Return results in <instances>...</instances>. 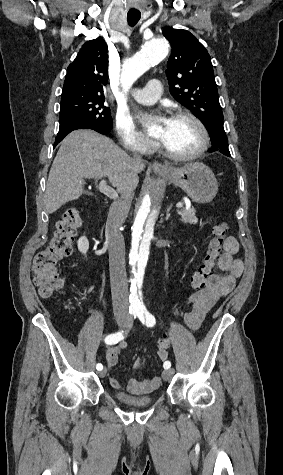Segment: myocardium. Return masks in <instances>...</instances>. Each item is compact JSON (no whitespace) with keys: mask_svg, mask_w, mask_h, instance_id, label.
<instances>
[{"mask_svg":"<svg viewBox=\"0 0 283 475\" xmlns=\"http://www.w3.org/2000/svg\"><path fill=\"white\" fill-rule=\"evenodd\" d=\"M172 117H183L192 121L200 130L201 140L193 152L186 155H174L166 148L164 143L159 138H156L159 150L166 158H168L171 162L174 163L184 164L197 160L204 154L209 145L210 136L206 125L198 116L189 111H175L172 114Z\"/></svg>","mask_w":283,"mask_h":475,"instance_id":"myocardium-1","label":"myocardium"}]
</instances>
